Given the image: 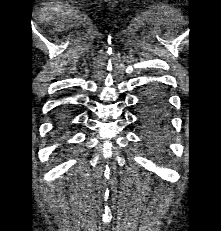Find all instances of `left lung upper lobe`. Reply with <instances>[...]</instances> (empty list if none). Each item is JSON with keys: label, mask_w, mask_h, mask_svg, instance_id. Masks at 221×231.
Instances as JSON below:
<instances>
[{"label": "left lung upper lobe", "mask_w": 221, "mask_h": 231, "mask_svg": "<svg viewBox=\"0 0 221 231\" xmlns=\"http://www.w3.org/2000/svg\"><path fill=\"white\" fill-rule=\"evenodd\" d=\"M155 100V101H154ZM146 106L143 119L152 126H163L164 117L162 112L163 99L159 93H150L143 99Z\"/></svg>", "instance_id": "1"}]
</instances>
